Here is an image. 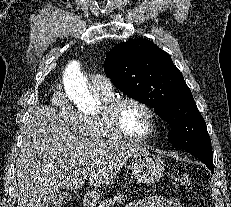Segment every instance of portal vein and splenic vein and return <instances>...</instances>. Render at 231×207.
Wrapping results in <instances>:
<instances>
[{"mask_svg":"<svg viewBox=\"0 0 231 207\" xmlns=\"http://www.w3.org/2000/svg\"><path fill=\"white\" fill-rule=\"evenodd\" d=\"M83 178H85V179H86V178H87V175H84V176H83Z\"/></svg>","mask_w":231,"mask_h":207,"instance_id":"portal-vein-and-splenic-vein-1","label":"portal vein and splenic vein"}]
</instances>
